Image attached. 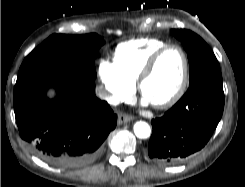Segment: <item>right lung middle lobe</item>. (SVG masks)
I'll use <instances>...</instances> for the list:
<instances>
[{
	"mask_svg": "<svg viewBox=\"0 0 245 187\" xmlns=\"http://www.w3.org/2000/svg\"><path fill=\"white\" fill-rule=\"evenodd\" d=\"M104 44L97 34H53L23 61L19 73L36 67H57L96 78L95 55Z\"/></svg>",
	"mask_w": 245,
	"mask_h": 187,
	"instance_id": "right-lung-middle-lobe-1",
	"label": "right lung middle lobe"
}]
</instances>
